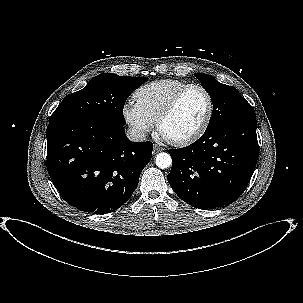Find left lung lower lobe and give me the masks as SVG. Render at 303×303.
I'll list each match as a JSON object with an SVG mask.
<instances>
[{"instance_id": "0a47b994", "label": "left lung lower lobe", "mask_w": 303, "mask_h": 303, "mask_svg": "<svg viewBox=\"0 0 303 303\" xmlns=\"http://www.w3.org/2000/svg\"><path fill=\"white\" fill-rule=\"evenodd\" d=\"M256 118L206 130L193 144L170 149L168 182L187 204L215 209L231 204L246 189L258 159Z\"/></svg>"}]
</instances>
